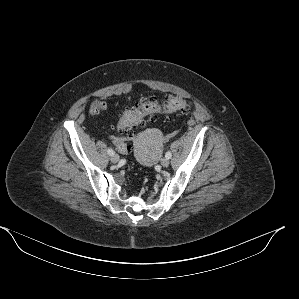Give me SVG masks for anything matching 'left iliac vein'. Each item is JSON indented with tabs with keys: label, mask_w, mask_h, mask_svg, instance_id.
Listing matches in <instances>:
<instances>
[{
	"label": "left iliac vein",
	"mask_w": 299,
	"mask_h": 299,
	"mask_svg": "<svg viewBox=\"0 0 299 299\" xmlns=\"http://www.w3.org/2000/svg\"><path fill=\"white\" fill-rule=\"evenodd\" d=\"M169 163H170V161H169L168 158H163V159L161 160V165H162L163 167H167V166L169 165Z\"/></svg>",
	"instance_id": "4c4485c4"
}]
</instances>
